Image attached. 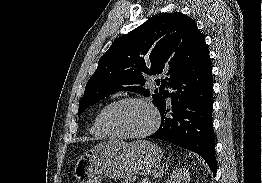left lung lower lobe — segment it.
Returning a JSON list of instances; mask_svg holds the SVG:
<instances>
[{
    "label": "left lung lower lobe",
    "instance_id": "left-lung-lower-lobe-1",
    "mask_svg": "<svg viewBox=\"0 0 262 183\" xmlns=\"http://www.w3.org/2000/svg\"><path fill=\"white\" fill-rule=\"evenodd\" d=\"M209 49L205 47L174 78L171 107L159 108L161 125L148 138L160 139L199 154L214 175L217 171L212 125L213 79Z\"/></svg>",
    "mask_w": 262,
    "mask_h": 183
}]
</instances>
